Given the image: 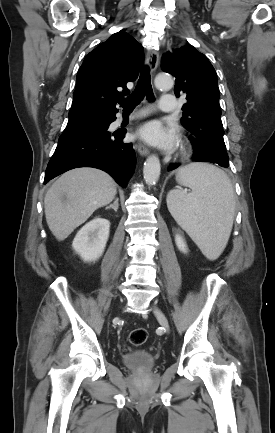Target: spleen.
<instances>
[{
    "label": "spleen",
    "mask_w": 275,
    "mask_h": 433,
    "mask_svg": "<svg viewBox=\"0 0 275 433\" xmlns=\"http://www.w3.org/2000/svg\"><path fill=\"white\" fill-rule=\"evenodd\" d=\"M176 180L192 192L175 189L168 193L171 215L209 260L217 259L228 242L234 220L230 179L213 165L192 163L178 170Z\"/></svg>",
    "instance_id": "spleen-1"
}]
</instances>
